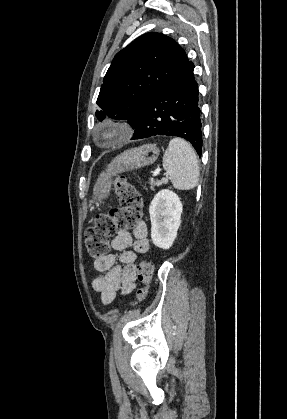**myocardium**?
I'll return each instance as SVG.
<instances>
[{
  "instance_id": "f54148a6",
  "label": "myocardium",
  "mask_w": 287,
  "mask_h": 419,
  "mask_svg": "<svg viewBox=\"0 0 287 419\" xmlns=\"http://www.w3.org/2000/svg\"><path fill=\"white\" fill-rule=\"evenodd\" d=\"M128 123L118 120H106L96 130V138L103 144L111 145L125 140L131 135Z\"/></svg>"
}]
</instances>
